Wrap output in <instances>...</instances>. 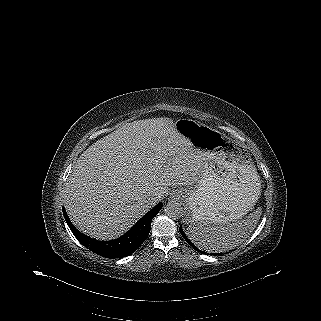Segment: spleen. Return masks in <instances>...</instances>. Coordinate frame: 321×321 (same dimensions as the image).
Wrapping results in <instances>:
<instances>
[{"instance_id": "3e777b00", "label": "spleen", "mask_w": 321, "mask_h": 321, "mask_svg": "<svg viewBox=\"0 0 321 321\" xmlns=\"http://www.w3.org/2000/svg\"><path fill=\"white\" fill-rule=\"evenodd\" d=\"M260 216L261 209L258 208L244 219L232 223H191L187 232L199 248L210 253L225 252L239 246L250 236Z\"/></svg>"}]
</instances>
